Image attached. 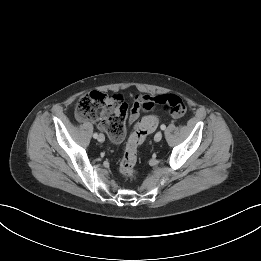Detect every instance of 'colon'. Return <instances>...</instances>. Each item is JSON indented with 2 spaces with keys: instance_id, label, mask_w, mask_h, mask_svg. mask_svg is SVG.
<instances>
[{
  "instance_id": "1",
  "label": "colon",
  "mask_w": 261,
  "mask_h": 261,
  "mask_svg": "<svg viewBox=\"0 0 261 261\" xmlns=\"http://www.w3.org/2000/svg\"><path fill=\"white\" fill-rule=\"evenodd\" d=\"M155 105L164 107L173 117H182L186 112L183 100L175 94L155 96L149 107L153 108ZM127 115L128 106L117 95L94 91L81 96L76 104L77 118L81 121L100 118V127L114 142L121 141L127 135L125 129ZM157 123L158 120L154 116L144 117L136 123L119 165V171L123 176L127 178L136 176L138 149L147 135L156 129Z\"/></svg>"
}]
</instances>
